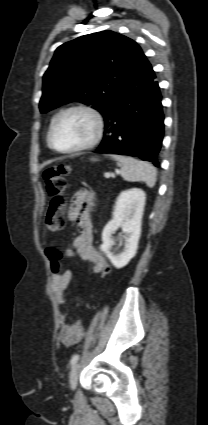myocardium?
Wrapping results in <instances>:
<instances>
[{
  "label": "myocardium",
  "instance_id": "myocardium-1",
  "mask_svg": "<svg viewBox=\"0 0 208 425\" xmlns=\"http://www.w3.org/2000/svg\"><path fill=\"white\" fill-rule=\"evenodd\" d=\"M72 112H82V113L89 115L93 119L94 124H95L94 134H93L92 138L83 145H80V146H77V147H74V148H69V149L57 148L53 143V135H54L55 128H56L57 124L59 123V121L64 116H66L67 114L72 113ZM104 129H105L104 119H103V116L101 115V113L99 111H97L96 109H94V108H92L88 105H84V104L72 105V106H69V107L63 109L61 112H59L58 115L52 121L51 126L49 128V133H48V144L53 150H55L59 153L73 154V153L83 152V151L89 150V149L95 147L97 144H99V142L102 140V137L104 135Z\"/></svg>",
  "mask_w": 208,
  "mask_h": 425
}]
</instances>
